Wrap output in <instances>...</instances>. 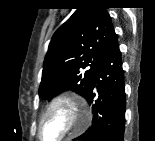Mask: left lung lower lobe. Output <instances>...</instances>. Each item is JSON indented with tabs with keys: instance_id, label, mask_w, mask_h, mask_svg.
I'll return each instance as SVG.
<instances>
[{
	"instance_id": "0a47b994",
	"label": "left lung lower lobe",
	"mask_w": 155,
	"mask_h": 141,
	"mask_svg": "<svg viewBox=\"0 0 155 141\" xmlns=\"http://www.w3.org/2000/svg\"><path fill=\"white\" fill-rule=\"evenodd\" d=\"M85 98L89 104H92L93 124L87 132L75 140L123 141L126 105L125 82L116 35L110 40L100 59Z\"/></svg>"
}]
</instances>
